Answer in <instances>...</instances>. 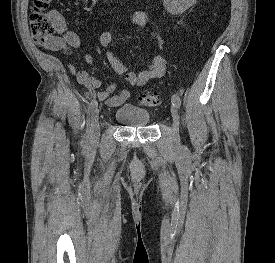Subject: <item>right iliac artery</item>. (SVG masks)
<instances>
[{"label": "right iliac artery", "instance_id": "82829eb1", "mask_svg": "<svg viewBox=\"0 0 275 263\" xmlns=\"http://www.w3.org/2000/svg\"><path fill=\"white\" fill-rule=\"evenodd\" d=\"M97 108V101L92 100L89 103L88 110H87V116H86V122H87V129L85 133V140L88 142L91 139V126H92V119L93 115L95 113V109Z\"/></svg>", "mask_w": 275, "mask_h": 263}]
</instances>
